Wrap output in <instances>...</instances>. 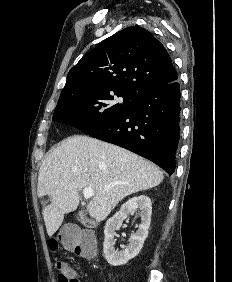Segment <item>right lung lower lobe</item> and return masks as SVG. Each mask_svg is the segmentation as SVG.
<instances>
[{
	"instance_id": "obj_1",
	"label": "right lung lower lobe",
	"mask_w": 232,
	"mask_h": 282,
	"mask_svg": "<svg viewBox=\"0 0 232 282\" xmlns=\"http://www.w3.org/2000/svg\"><path fill=\"white\" fill-rule=\"evenodd\" d=\"M180 112V85L176 79L146 88L131 110L84 132L149 159L172 175L180 138Z\"/></svg>"
}]
</instances>
